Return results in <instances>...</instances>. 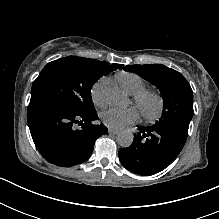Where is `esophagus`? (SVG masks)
<instances>
[{
    "label": "esophagus",
    "instance_id": "obj_1",
    "mask_svg": "<svg viewBox=\"0 0 219 219\" xmlns=\"http://www.w3.org/2000/svg\"><path fill=\"white\" fill-rule=\"evenodd\" d=\"M109 133H110V134H113V135H117V134L119 133V130L114 129V128H110V129H109Z\"/></svg>",
    "mask_w": 219,
    "mask_h": 219
}]
</instances>
